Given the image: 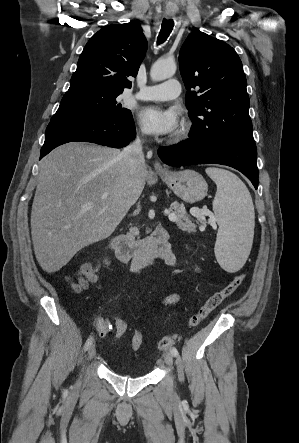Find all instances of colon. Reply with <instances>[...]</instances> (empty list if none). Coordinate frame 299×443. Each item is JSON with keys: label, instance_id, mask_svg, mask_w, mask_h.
I'll return each mask as SVG.
<instances>
[{"label": "colon", "instance_id": "5ec220e1", "mask_svg": "<svg viewBox=\"0 0 299 443\" xmlns=\"http://www.w3.org/2000/svg\"><path fill=\"white\" fill-rule=\"evenodd\" d=\"M97 269L90 265L84 264L76 272L75 276L72 278V288L75 291H80L85 288L89 282L94 280L96 276ZM245 276L243 274H238L233 278V280L227 284L220 291L214 293L210 296L204 305L199 309V311L190 318L188 322V328L194 329L197 327L204 319L210 315L215 309H217L226 299L231 297L235 291L241 286L244 281ZM129 329V322L126 317L120 316L114 319L111 323V334L115 338H122ZM180 335L173 334L162 338L158 343V348L160 350H166L179 341ZM143 334L140 330H134L131 336V349L138 351L143 345Z\"/></svg>", "mask_w": 299, "mask_h": 443}]
</instances>
